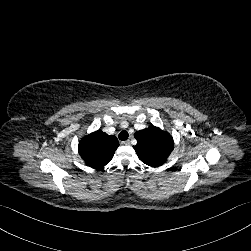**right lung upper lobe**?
I'll return each mask as SVG.
<instances>
[{"instance_id":"1","label":"right lung upper lobe","mask_w":251,"mask_h":251,"mask_svg":"<svg viewBox=\"0 0 251 251\" xmlns=\"http://www.w3.org/2000/svg\"><path fill=\"white\" fill-rule=\"evenodd\" d=\"M118 146L115 136L98 130L81 139L78 151L85 165L100 169L111 161Z\"/></svg>"}]
</instances>
